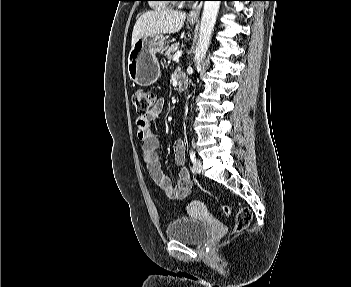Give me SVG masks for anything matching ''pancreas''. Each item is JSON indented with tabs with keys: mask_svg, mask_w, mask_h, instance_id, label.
I'll return each mask as SVG.
<instances>
[{
	"mask_svg": "<svg viewBox=\"0 0 351 287\" xmlns=\"http://www.w3.org/2000/svg\"><path fill=\"white\" fill-rule=\"evenodd\" d=\"M177 49H178V44H173V45H171V46L166 50L165 56H167V58H168L169 60H171L172 57H173V54L177 51Z\"/></svg>",
	"mask_w": 351,
	"mask_h": 287,
	"instance_id": "pancreas-1",
	"label": "pancreas"
}]
</instances>
